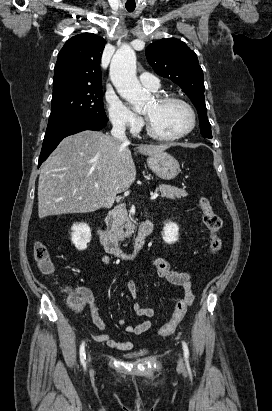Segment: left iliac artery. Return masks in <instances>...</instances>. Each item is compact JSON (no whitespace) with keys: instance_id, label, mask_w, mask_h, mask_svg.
<instances>
[{"instance_id":"44dca946","label":"left iliac artery","mask_w":272,"mask_h":411,"mask_svg":"<svg viewBox=\"0 0 272 411\" xmlns=\"http://www.w3.org/2000/svg\"><path fill=\"white\" fill-rule=\"evenodd\" d=\"M182 347H183V352H184V358H185L186 361H188L189 349H188L187 344L184 341L182 342Z\"/></svg>"}]
</instances>
